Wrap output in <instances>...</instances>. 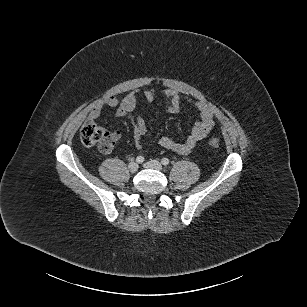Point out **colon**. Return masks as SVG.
<instances>
[{
  "label": "colon",
  "instance_id": "1",
  "mask_svg": "<svg viewBox=\"0 0 307 307\" xmlns=\"http://www.w3.org/2000/svg\"><path fill=\"white\" fill-rule=\"evenodd\" d=\"M80 138L84 145L97 146L100 152L109 153L118 141L119 135L104 130L94 120H88L80 130ZM208 143L212 148H217L220 144L217 138L210 139Z\"/></svg>",
  "mask_w": 307,
  "mask_h": 307
}]
</instances>
